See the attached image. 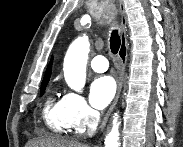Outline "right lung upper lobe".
I'll return each instance as SVG.
<instances>
[{
    "mask_svg": "<svg viewBox=\"0 0 183 147\" xmlns=\"http://www.w3.org/2000/svg\"><path fill=\"white\" fill-rule=\"evenodd\" d=\"M51 65H52V59H51L50 64H49V66H48V68L46 70V74H45V77L43 79L42 85L47 84L49 79H50V76H51Z\"/></svg>",
    "mask_w": 183,
    "mask_h": 147,
    "instance_id": "cb5924a9",
    "label": "right lung upper lobe"
}]
</instances>
